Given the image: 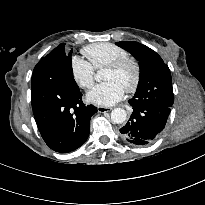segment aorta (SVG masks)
I'll return each mask as SVG.
<instances>
[{
	"label": "aorta",
	"mask_w": 205,
	"mask_h": 205,
	"mask_svg": "<svg viewBox=\"0 0 205 205\" xmlns=\"http://www.w3.org/2000/svg\"><path fill=\"white\" fill-rule=\"evenodd\" d=\"M95 79L100 80V76L96 75ZM127 113L123 108H115L111 111V120L113 123L121 124L126 120Z\"/></svg>",
	"instance_id": "obj_1"
}]
</instances>
